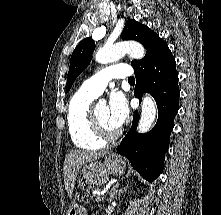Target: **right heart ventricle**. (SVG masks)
Masks as SVG:
<instances>
[{"label":"right heart ventricle","instance_id":"right-heart-ventricle-1","mask_svg":"<svg viewBox=\"0 0 221 215\" xmlns=\"http://www.w3.org/2000/svg\"><path fill=\"white\" fill-rule=\"evenodd\" d=\"M96 97L78 90L73 94L67 109V128L72 143L79 149L95 151L105 145V141L99 138L90 120V106Z\"/></svg>","mask_w":221,"mask_h":215}]
</instances>
